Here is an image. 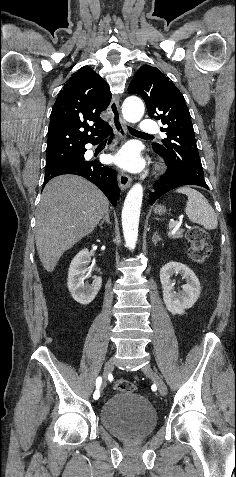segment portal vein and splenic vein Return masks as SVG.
Masks as SVG:
<instances>
[{
  "mask_svg": "<svg viewBox=\"0 0 236 477\" xmlns=\"http://www.w3.org/2000/svg\"><path fill=\"white\" fill-rule=\"evenodd\" d=\"M182 224V221L179 220V221H174L172 223L169 224V229L170 230H173L174 232L181 226Z\"/></svg>",
  "mask_w": 236,
  "mask_h": 477,
  "instance_id": "18ae733b",
  "label": "portal vein and splenic vein"
}]
</instances>
